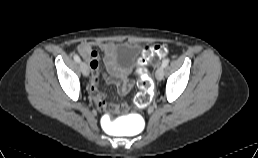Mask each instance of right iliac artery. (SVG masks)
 I'll return each mask as SVG.
<instances>
[{
    "label": "right iliac artery",
    "instance_id": "right-iliac-artery-1",
    "mask_svg": "<svg viewBox=\"0 0 258 158\" xmlns=\"http://www.w3.org/2000/svg\"><path fill=\"white\" fill-rule=\"evenodd\" d=\"M74 60H75L76 62H78V63L81 62V60H80V58H79V56H78L77 54H74Z\"/></svg>",
    "mask_w": 258,
    "mask_h": 158
}]
</instances>
